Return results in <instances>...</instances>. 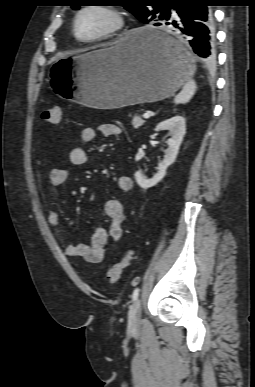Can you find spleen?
Wrapping results in <instances>:
<instances>
[{"mask_svg":"<svg viewBox=\"0 0 255 387\" xmlns=\"http://www.w3.org/2000/svg\"><path fill=\"white\" fill-rule=\"evenodd\" d=\"M196 83L193 79H189L183 86L181 92L176 95L174 102L176 104H185L190 101L196 92Z\"/></svg>","mask_w":255,"mask_h":387,"instance_id":"obj_1","label":"spleen"}]
</instances>
